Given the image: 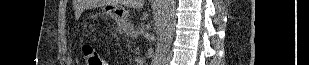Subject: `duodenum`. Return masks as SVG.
<instances>
[{
  "label": "duodenum",
  "mask_w": 309,
  "mask_h": 65,
  "mask_svg": "<svg viewBox=\"0 0 309 65\" xmlns=\"http://www.w3.org/2000/svg\"><path fill=\"white\" fill-rule=\"evenodd\" d=\"M137 64H138V65H143V61H142L141 58H138V59H137Z\"/></svg>",
  "instance_id": "duodenum-1"
}]
</instances>
